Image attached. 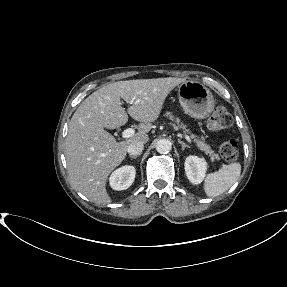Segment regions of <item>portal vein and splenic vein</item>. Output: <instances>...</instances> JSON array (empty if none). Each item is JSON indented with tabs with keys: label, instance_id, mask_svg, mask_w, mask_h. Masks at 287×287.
Returning a JSON list of instances; mask_svg holds the SVG:
<instances>
[{
	"label": "portal vein and splenic vein",
	"instance_id": "obj_1",
	"mask_svg": "<svg viewBox=\"0 0 287 287\" xmlns=\"http://www.w3.org/2000/svg\"><path fill=\"white\" fill-rule=\"evenodd\" d=\"M134 133H135V130H134V129L128 128V129H125V130L122 132V137L125 138V139H127V138L132 137V136L134 135ZM185 139H186L189 143L192 142V140L190 139V137H189L188 135H185Z\"/></svg>",
	"mask_w": 287,
	"mask_h": 287
}]
</instances>
